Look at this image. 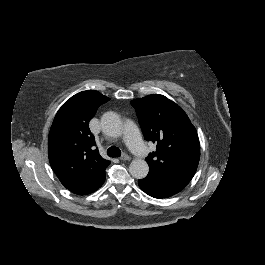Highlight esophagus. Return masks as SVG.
<instances>
[{
	"instance_id": "obj_1",
	"label": "esophagus",
	"mask_w": 265,
	"mask_h": 265,
	"mask_svg": "<svg viewBox=\"0 0 265 265\" xmlns=\"http://www.w3.org/2000/svg\"><path fill=\"white\" fill-rule=\"evenodd\" d=\"M131 158L127 155V154H123L121 157H120V160L122 161H129Z\"/></svg>"
}]
</instances>
